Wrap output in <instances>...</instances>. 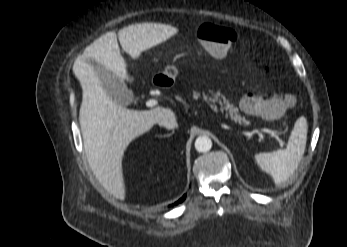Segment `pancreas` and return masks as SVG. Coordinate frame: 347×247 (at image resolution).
I'll return each mask as SVG.
<instances>
[{
	"label": "pancreas",
	"mask_w": 347,
	"mask_h": 247,
	"mask_svg": "<svg viewBox=\"0 0 347 247\" xmlns=\"http://www.w3.org/2000/svg\"><path fill=\"white\" fill-rule=\"evenodd\" d=\"M211 93V96L209 95H205V93H202L204 99L208 102H210V106L212 109H217L215 102H218L221 105L220 111L223 113L224 111L226 112V115H229L231 117L232 120L242 123L243 120L239 115V111L238 108H236L233 104H231L224 96H221L220 98V93L217 92H212L209 91ZM192 96L194 98H198L200 96V93L197 92L196 90H193Z\"/></svg>",
	"instance_id": "cf45deb5"
}]
</instances>
